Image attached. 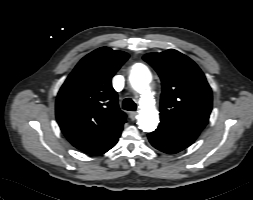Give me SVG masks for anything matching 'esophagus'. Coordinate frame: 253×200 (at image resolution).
Segmentation results:
<instances>
[{
    "mask_svg": "<svg viewBox=\"0 0 253 200\" xmlns=\"http://www.w3.org/2000/svg\"><path fill=\"white\" fill-rule=\"evenodd\" d=\"M136 116H137L136 112H130V114H129V117H130L131 120H135Z\"/></svg>",
    "mask_w": 253,
    "mask_h": 200,
    "instance_id": "obj_1",
    "label": "esophagus"
}]
</instances>
